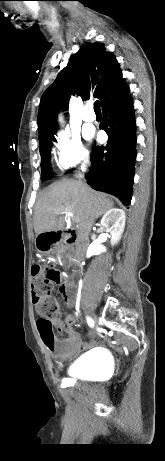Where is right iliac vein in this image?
Here are the masks:
<instances>
[{"label": "right iliac vein", "mask_w": 165, "mask_h": 461, "mask_svg": "<svg viewBox=\"0 0 165 461\" xmlns=\"http://www.w3.org/2000/svg\"><path fill=\"white\" fill-rule=\"evenodd\" d=\"M93 323H97V317L95 315H92Z\"/></svg>", "instance_id": "obj_1"}]
</instances>
